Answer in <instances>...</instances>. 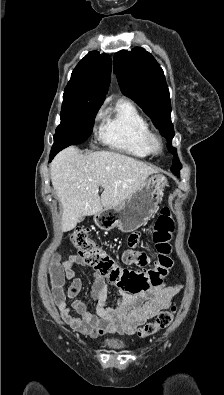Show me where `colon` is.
Masks as SVG:
<instances>
[{"mask_svg": "<svg viewBox=\"0 0 224 395\" xmlns=\"http://www.w3.org/2000/svg\"><path fill=\"white\" fill-rule=\"evenodd\" d=\"M175 231V223L169 208L164 207L155 223L153 241L159 253L157 264L147 272H141L120 266L111 256L106 254L90 237L88 231L77 229L71 235V242L77 248L80 257L86 264L93 266L110 281L118 284L126 291L136 294L146 291L151 286L158 284L169 275L173 260L171 252V239ZM176 307L161 311L157 318L144 324L138 331L141 338H145L168 327L175 316Z\"/></svg>", "mask_w": 224, "mask_h": 395, "instance_id": "1", "label": "colon"}]
</instances>
